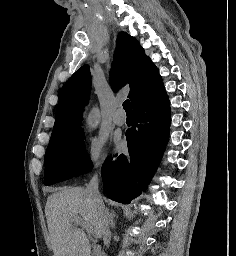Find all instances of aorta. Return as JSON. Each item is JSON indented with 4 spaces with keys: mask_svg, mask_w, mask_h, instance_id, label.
Masks as SVG:
<instances>
[{
    "mask_svg": "<svg viewBox=\"0 0 236 256\" xmlns=\"http://www.w3.org/2000/svg\"><path fill=\"white\" fill-rule=\"evenodd\" d=\"M98 120H99V113L98 110L93 109V111L91 112V114L88 117V125L90 128H95L98 124Z\"/></svg>",
    "mask_w": 236,
    "mask_h": 256,
    "instance_id": "obj_1",
    "label": "aorta"
}]
</instances>
